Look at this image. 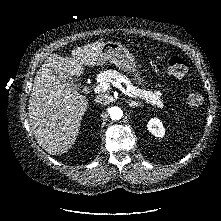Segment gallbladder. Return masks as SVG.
Here are the masks:
<instances>
[{
  "label": "gallbladder",
  "mask_w": 221,
  "mask_h": 221,
  "mask_svg": "<svg viewBox=\"0 0 221 221\" xmlns=\"http://www.w3.org/2000/svg\"><path fill=\"white\" fill-rule=\"evenodd\" d=\"M60 81H61L62 83H64V84L70 86V87H73V86H74V84H73V83L70 81V79H68V78H60Z\"/></svg>",
  "instance_id": "obj_1"
}]
</instances>
